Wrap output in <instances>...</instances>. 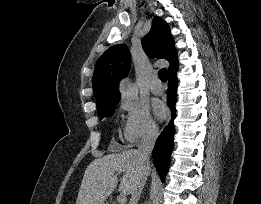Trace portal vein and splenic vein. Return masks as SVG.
Returning <instances> with one entry per match:
<instances>
[{"label":"portal vein and splenic vein","mask_w":261,"mask_h":204,"mask_svg":"<svg viewBox=\"0 0 261 204\" xmlns=\"http://www.w3.org/2000/svg\"><path fill=\"white\" fill-rule=\"evenodd\" d=\"M118 203L119 204H125L126 203V194L121 193L118 197Z\"/></svg>","instance_id":"18ae733b"}]
</instances>
